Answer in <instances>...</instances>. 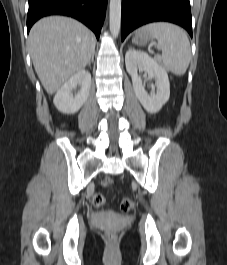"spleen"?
<instances>
[{"label":"spleen","mask_w":227,"mask_h":265,"mask_svg":"<svg viewBox=\"0 0 227 265\" xmlns=\"http://www.w3.org/2000/svg\"><path fill=\"white\" fill-rule=\"evenodd\" d=\"M138 34L157 39L156 47L162 51L164 67L175 75L185 74L191 60V47L187 34L181 27L155 22L141 27Z\"/></svg>","instance_id":"1"}]
</instances>
